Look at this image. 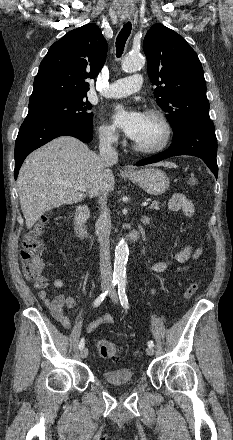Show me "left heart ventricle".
Segmentation results:
<instances>
[{
  "label": "left heart ventricle",
  "mask_w": 233,
  "mask_h": 440,
  "mask_svg": "<svg viewBox=\"0 0 233 440\" xmlns=\"http://www.w3.org/2000/svg\"><path fill=\"white\" fill-rule=\"evenodd\" d=\"M163 133V128L160 123L145 115L144 125L134 141L143 146H154L162 140Z\"/></svg>",
  "instance_id": "left-heart-ventricle-1"
}]
</instances>
